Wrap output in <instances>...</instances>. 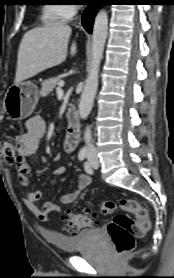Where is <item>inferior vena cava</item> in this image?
Masks as SVG:
<instances>
[{
  "mask_svg": "<svg viewBox=\"0 0 174 278\" xmlns=\"http://www.w3.org/2000/svg\"><path fill=\"white\" fill-rule=\"evenodd\" d=\"M84 140L88 148V154L92 155L96 153V149L94 145L92 144V138H91V130L90 127H87L84 133Z\"/></svg>",
  "mask_w": 174,
  "mask_h": 278,
  "instance_id": "inferior-vena-cava-1",
  "label": "inferior vena cava"
}]
</instances>
